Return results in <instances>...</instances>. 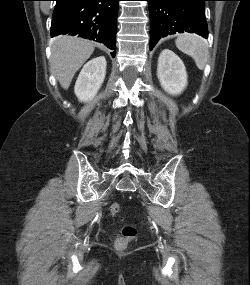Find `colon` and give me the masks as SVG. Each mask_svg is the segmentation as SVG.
<instances>
[{
  "label": "colon",
  "mask_w": 250,
  "mask_h": 285,
  "mask_svg": "<svg viewBox=\"0 0 250 285\" xmlns=\"http://www.w3.org/2000/svg\"><path fill=\"white\" fill-rule=\"evenodd\" d=\"M120 211V205L114 202L110 205V213L116 215ZM137 230L132 225L124 226L122 229V235L115 239V247L118 250H124L129 242L135 238Z\"/></svg>",
  "instance_id": "colon-1"
}]
</instances>
